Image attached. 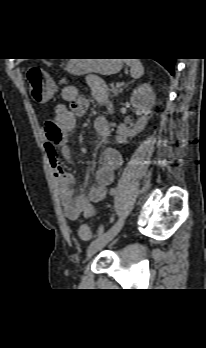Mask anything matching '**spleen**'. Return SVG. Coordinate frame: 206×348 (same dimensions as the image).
I'll use <instances>...</instances> for the list:
<instances>
[{"mask_svg": "<svg viewBox=\"0 0 206 348\" xmlns=\"http://www.w3.org/2000/svg\"><path fill=\"white\" fill-rule=\"evenodd\" d=\"M125 63L130 67V74L134 79H138L144 74V67L140 60L125 59Z\"/></svg>", "mask_w": 206, "mask_h": 348, "instance_id": "3e777b00", "label": "spleen"}]
</instances>
